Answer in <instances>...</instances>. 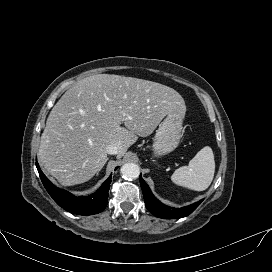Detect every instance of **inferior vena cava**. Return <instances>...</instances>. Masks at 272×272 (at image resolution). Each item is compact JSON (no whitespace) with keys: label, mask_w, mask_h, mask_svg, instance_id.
Returning a JSON list of instances; mask_svg holds the SVG:
<instances>
[{"label":"inferior vena cava","mask_w":272,"mask_h":272,"mask_svg":"<svg viewBox=\"0 0 272 272\" xmlns=\"http://www.w3.org/2000/svg\"><path fill=\"white\" fill-rule=\"evenodd\" d=\"M106 152H107V154H110V155L118 154V146L117 145H109L106 148Z\"/></svg>","instance_id":"obj_1"}]
</instances>
